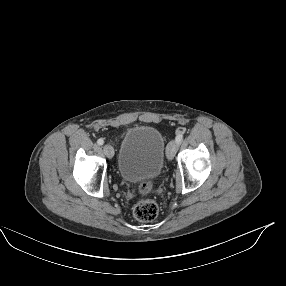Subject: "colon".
Segmentation results:
<instances>
[{
  "label": "colon",
  "mask_w": 286,
  "mask_h": 286,
  "mask_svg": "<svg viewBox=\"0 0 286 286\" xmlns=\"http://www.w3.org/2000/svg\"><path fill=\"white\" fill-rule=\"evenodd\" d=\"M150 188L151 184L149 182H142L140 192L147 193ZM158 212V204L151 199L140 200L133 207V214L140 221H151L157 217Z\"/></svg>",
  "instance_id": "1"
}]
</instances>
